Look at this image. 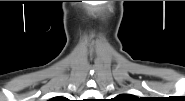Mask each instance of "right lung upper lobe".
Returning a JSON list of instances; mask_svg holds the SVG:
<instances>
[{
  "label": "right lung upper lobe",
  "instance_id": "right-lung-upper-lobe-1",
  "mask_svg": "<svg viewBox=\"0 0 185 101\" xmlns=\"http://www.w3.org/2000/svg\"><path fill=\"white\" fill-rule=\"evenodd\" d=\"M54 101H63L64 98L63 97H55L53 98Z\"/></svg>",
  "mask_w": 185,
  "mask_h": 101
}]
</instances>
